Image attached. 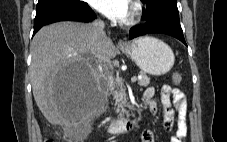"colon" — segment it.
<instances>
[{
	"label": "colon",
	"instance_id": "5ec220e1",
	"mask_svg": "<svg viewBox=\"0 0 227 142\" xmlns=\"http://www.w3.org/2000/svg\"><path fill=\"white\" fill-rule=\"evenodd\" d=\"M181 81V76L180 74H175L173 76V82L174 83H179ZM44 142H55L52 138L48 137Z\"/></svg>",
	"mask_w": 227,
	"mask_h": 142
}]
</instances>
